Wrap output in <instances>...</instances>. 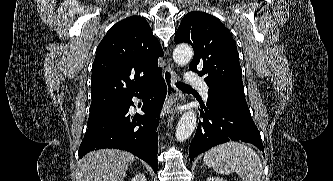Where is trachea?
Masks as SVG:
<instances>
[{"instance_id": "1", "label": "trachea", "mask_w": 333, "mask_h": 181, "mask_svg": "<svg viewBox=\"0 0 333 181\" xmlns=\"http://www.w3.org/2000/svg\"><path fill=\"white\" fill-rule=\"evenodd\" d=\"M176 86H177L179 89H181V90L192 89L191 86L186 85V84L181 83V82H177V83H176Z\"/></svg>"}]
</instances>
